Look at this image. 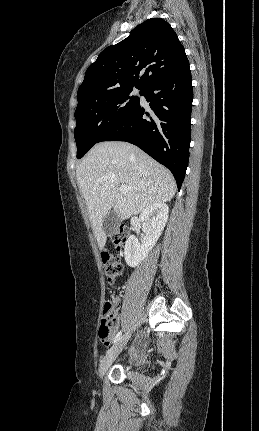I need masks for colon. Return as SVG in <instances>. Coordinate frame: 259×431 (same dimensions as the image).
<instances>
[{"label":"colon","mask_w":259,"mask_h":431,"mask_svg":"<svg viewBox=\"0 0 259 431\" xmlns=\"http://www.w3.org/2000/svg\"><path fill=\"white\" fill-rule=\"evenodd\" d=\"M129 229L120 227L111 234V240L117 251H122L125 247ZM101 261L108 284L113 285L115 280L123 273V265L119 255L108 250L101 252ZM117 326V317L114 313V303L106 301L103 307V318L99 327V337L101 341L108 345L112 331Z\"/></svg>","instance_id":"5ec220e1"}]
</instances>
